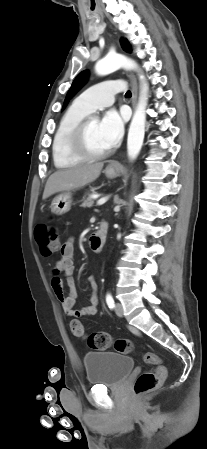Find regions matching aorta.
<instances>
[{
  "label": "aorta",
  "mask_w": 207,
  "mask_h": 449,
  "mask_svg": "<svg viewBox=\"0 0 207 449\" xmlns=\"http://www.w3.org/2000/svg\"><path fill=\"white\" fill-rule=\"evenodd\" d=\"M120 68L137 70L138 66L134 61L120 54H109L99 60L95 66L96 73L99 75H107ZM147 100L148 85L144 75L140 74V96L129 127L127 139V152L131 160L137 158L143 145Z\"/></svg>",
  "instance_id": "762f6f07"
}]
</instances>
